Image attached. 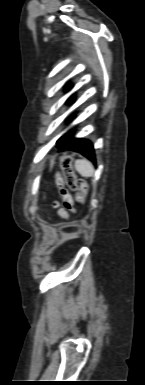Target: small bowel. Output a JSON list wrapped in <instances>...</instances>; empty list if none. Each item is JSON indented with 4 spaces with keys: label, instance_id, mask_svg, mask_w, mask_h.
<instances>
[{
    "label": "small bowel",
    "instance_id": "1",
    "mask_svg": "<svg viewBox=\"0 0 145 385\" xmlns=\"http://www.w3.org/2000/svg\"><path fill=\"white\" fill-rule=\"evenodd\" d=\"M53 206H54V208L57 209L58 214H59L60 217L67 218L68 213H67V211L63 207H61L59 202H57V201L53 202Z\"/></svg>",
    "mask_w": 145,
    "mask_h": 385
}]
</instances>
